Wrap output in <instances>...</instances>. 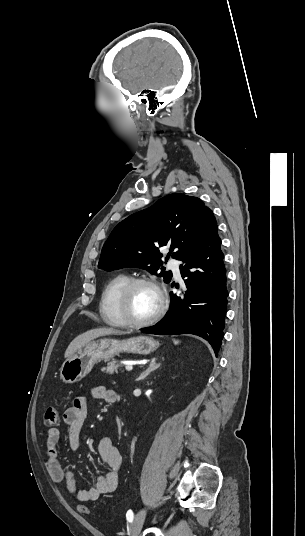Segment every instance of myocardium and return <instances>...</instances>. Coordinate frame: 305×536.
I'll use <instances>...</instances> for the list:
<instances>
[{"label":"myocardium","mask_w":305,"mask_h":536,"mask_svg":"<svg viewBox=\"0 0 305 536\" xmlns=\"http://www.w3.org/2000/svg\"><path fill=\"white\" fill-rule=\"evenodd\" d=\"M142 284L151 285L157 290L159 299H160V305L157 311L153 313L152 315L144 319L134 320L130 317L129 311H128L129 298H130L132 291L137 286L142 285ZM167 307H168V298L162 286L152 277L144 276V277L131 278L123 287L118 297V310H119L120 316L122 317L124 321V326L131 327V328L144 327L146 325H149L157 321L165 314Z\"/></svg>","instance_id":"obj_1"}]
</instances>
